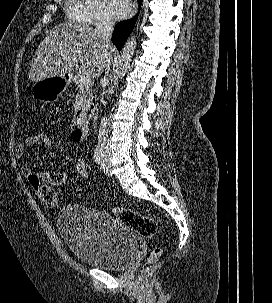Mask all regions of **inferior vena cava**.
I'll list each match as a JSON object with an SVG mask.
<instances>
[{
	"mask_svg": "<svg viewBox=\"0 0 272 303\" xmlns=\"http://www.w3.org/2000/svg\"><path fill=\"white\" fill-rule=\"evenodd\" d=\"M113 19L109 15H102L97 24V31L100 34L102 40L106 44L111 43V36L113 33ZM112 63V55L110 53L107 54V60L105 65V74L106 76L102 79V83L108 85L109 79L108 74L110 71V65ZM98 146H99V153L102 160H110L111 159V152L109 148V139H108V129H107V118L103 117L101 119V123L99 126L98 132Z\"/></svg>",
	"mask_w": 272,
	"mask_h": 303,
	"instance_id": "602c4592",
	"label": "inferior vena cava"
}]
</instances>
